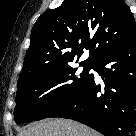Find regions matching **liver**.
<instances>
[{
    "label": "liver",
    "mask_w": 136,
    "mask_h": 136,
    "mask_svg": "<svg viewBox=\"0 0 136 136\" xmlns=\"http://www.w3.org/2000/svg\"><path fill=\"white\" fill-rule=\"evenodd\" d=\"M19 136H99L89 127L68 119L44 120L29 125Z\"/></svg>",
    "instance_id": "obj_1"
}]
</instances>
